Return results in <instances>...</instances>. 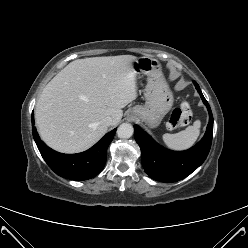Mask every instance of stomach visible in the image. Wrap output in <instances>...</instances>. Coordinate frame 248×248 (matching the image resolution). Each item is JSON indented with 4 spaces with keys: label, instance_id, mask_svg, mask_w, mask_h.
<instances>
[{
    "label": "stomach",
    "instance_id": "obj_1",
    "mask_svg": "<svg viewBox=\"0 0 248 248\" xmlns=\"http://www.w3.org/2000/svg\"><path fill=\"white\" fill-rule=\"evenodd\" d=\"M131 65L137 75L147 76V86L144 90L146 104L135 106L130 114L152 128L157 127L172 108L173 94L156 59L148 56L140 57L134 60Z\"/></svg>",
    "mask_w": 248,
    "mask_h": 248
}]
</instances>
